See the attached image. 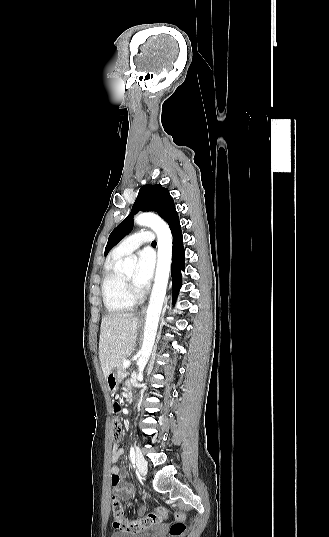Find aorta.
<instances>
[{"mask_svg": "<svg viewBox=\"0 0 329 537\" xmlns=\"http://www.w3.org/2000/svg\"><path fill=\"white\" fill-rule=\"evenodd\" d=\"M135 222L140 226L151 227L156 232L158 238V260L155 282L146 314L143 343L137 361L139 379L142 377L144 368L152 352L166 295L172 259V235L168 225L161 218L153 214H139L135 218ZM136 262L137 258L134 256L125 258L122 264L123 271H132Z\"/></svg>", "mask_w": 329, "mask_h": 537, "instance_id": "aorta-1", "label": "aorta"}]
</instances>
